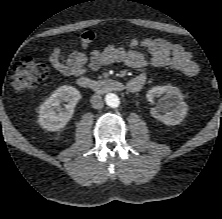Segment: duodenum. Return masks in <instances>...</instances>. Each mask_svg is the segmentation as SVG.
Segmentation results:
<instances>
[{"mask_svg": "<svg viewBox=\"0 0 222 219\" xmlns=\"http://www.w3.org/2000/svg\"><path fill=\"white\" fill-rule=\"evenodd\" d=\"M78 84L85 89L99 93L106 91H122L125 89L131 92H136L139 91L143 86V84L139 81H130L128 83H123L115 79L96 81L87 77L79 78Z\"/></svg>", "mask_w": 222, "mask_h": 219, "instance_id": "1", "label": "duodenum"}]
</instances>
